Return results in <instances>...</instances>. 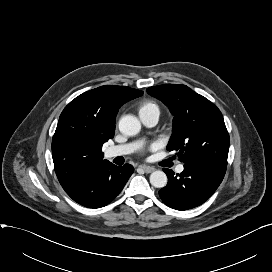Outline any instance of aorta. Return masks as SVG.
<instances>
[{
    "label": "aorta",
    "instance_id": "aorta-1",
    "mask_svg": "<svg viewBox=\"0 0 272 272\" xmlns=\"http://www.w3.org/2000/svg\"><path fill=\"white\" fill-rule=\"evenodd\" d=\"M141 129L140 121L132 115H125L119 120V130L126 136H134ZM150 183L156 188H163L167 184V175L163 171H154L150 175Z\"/></svg>",
    "mask_w": 272,
    "mask_h": 272
}]
</instances>
